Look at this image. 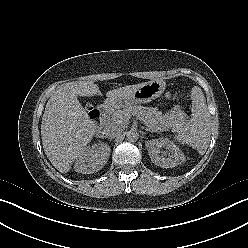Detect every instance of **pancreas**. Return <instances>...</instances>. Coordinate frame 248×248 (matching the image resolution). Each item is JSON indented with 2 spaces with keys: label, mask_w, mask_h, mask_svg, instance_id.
Here are the masks:
<instances>
[{
  "label": "pancreas",
  "mask_w": 248,
  "mask_h": 248,
  "mask_svg": "<svg viewBox=\"0 0 248 248\" xmlns=\"http://www.w3.org/2000/svg\"><path fill=\"white\" fill-rule=\"evenodd\" d=\"M131 116H137L149 130L154 132L178 130L184 125L186 119V114L180 110H171L163 115L157 108L130 105L110 113L108 121L111 124L125 126L129 123Z\"/></svg>",
  "instance_id": "obj_1"
}]
</instances>
